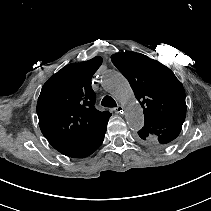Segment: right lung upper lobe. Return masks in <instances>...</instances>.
I'll return each instance as SVG.
<instances>
[{"label":"right lung upper lobe","mask_w":211,"mask_h":211,"mask_svg":"<svg viewBox=\"0 0 211 211\" xmlns=\"http://www.w3.org/2000/svg\"><path fill=\"white\" fill-rule=\"evenodd\" d=\"M101 63L102 58L95 57L69 64L42 87L37 115L41 132L51 145L94 131L111 116L94 107L91 78Z\"/></svg>","instance_id":"obj_1"}]
</instances>
